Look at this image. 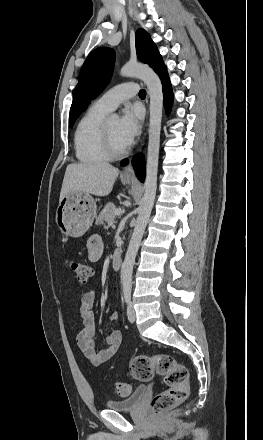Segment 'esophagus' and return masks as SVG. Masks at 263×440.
<instances>
[{
    "label": "esophagus",
    "mask_w": 263,
    "mask_h": 440,
    "mask_svg": "<svg viewBox=\"0 0 263 440\" xmlns=\"http://www.w3.org/2000/svg\"><path fill=\"white\" fill-rule=\"evenodd\" d=\"M142 146L143 143L141 145V147L139 148L137 154L139 152H141L142 150ZM121 176L125 179H131L134 180L135 179V172H134V168H133V163H132V159L129 161L128 165H126L121 173Z\"/></svg>",
    "instance_id": "1"
}]
</instances>
